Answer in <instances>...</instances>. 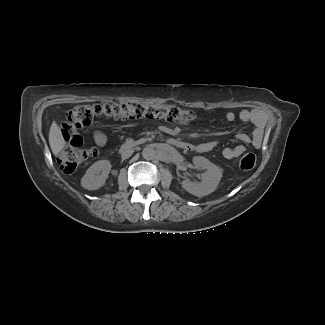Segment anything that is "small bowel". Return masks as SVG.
<instances>
[{
  "instance_id": "c3829d8e",
  "label": "small bowel",
  "mask_w": 325,
  "mask_h": 325,
  "mask_svg": "<svg viewBox=\"0 0 325 325\" xmlns=\"http://www.w3.org/2000/svg\"><path fill=\"white\" fill-rule=\"evenodd\" d=\"M237 119L242 122H252L254 123L256 130H261L266 121V115L263 111L260 110L247 109L240 111L238 114H235L231 111H227L222 115V120L226 123H233ZM57 129L60 138L67 143V146L69 148H79L83 146V136L75 133L71 126H67L66 122H59ZM238 138L242 142H248L250 140L249 136L245 133H240L238 135ZM94 141L98 147L102 148L107 143V137L103 132L96 131L94 133ZM215 147L216 143L214 141H207L195 145V149L199 152H207L214 149ZM244 151L245 146L243 144H238L233 147L225 148L222 154L226 159H234L239 157Z\"/></svg>"
}]
</instances>
